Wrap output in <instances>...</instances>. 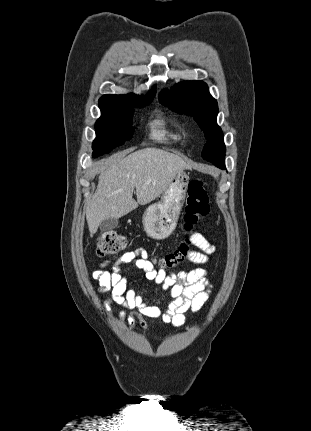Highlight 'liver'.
I'll use <instances>...</instances> for the list:
<instances>
[{"instance_id":"1","label":"liver","mask_w":311,"mask_h":431,"mask_svg":"<svg viewBox=\"0 0 311 431\" xmlns=\"http://www.w3.org/2000/svg\"><path fill=\"white\" fill-rule=\"evenodd\" d=\"M183 170H191L190 164L180 156L157 148L137 150L111 164L100 174L97 190L87 204L90 237L103 219H118L159 198ZM133 192H136L137 200H134Z\"/></svg>"}]
</instances>
